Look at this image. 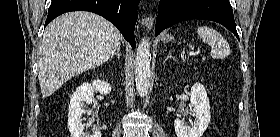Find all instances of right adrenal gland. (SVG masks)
Instances as JSON below:
<instances>
[{
	"instance_id": "1",
	"label": "right adrenal gland",
	"mask_w": 280,
	"mask_h": 137,
	"mask_svg": "<svg viewBox=\"0 0 280 137\" xmlns=\"http://www.w3.org/2000/svg\"><path fill=\"white\" fill-rule=\"evenodd\" d=\"M114 55H117V56H118V58H120L119 49H117V50L115 51V53H114V54H112V56H114Z\"/></svg>"
}]
</instances>
